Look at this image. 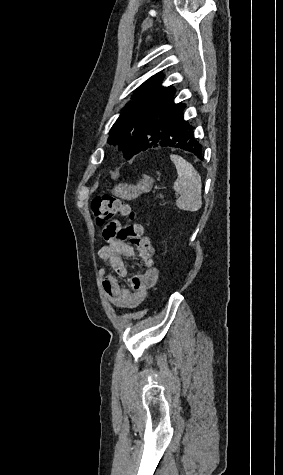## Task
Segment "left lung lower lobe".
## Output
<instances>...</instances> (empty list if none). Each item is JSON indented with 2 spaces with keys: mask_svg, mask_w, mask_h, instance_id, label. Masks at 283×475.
<instances>
[{
  "mask_svg": "<svg viewBox=\"0 0 283 475\" xmlns=\"http://www.w3.org/2000/svg\"><path fill=\"white\" fill-rule=\"evenodd\" d=\"M174 90L150 112L139 135H121L116 144L123 147L126 159L155 147H173L189 151L203 159V146L194 137V127L184 120L183 103H174Z\"/></svg>",
  "mask_w": 283,
  "mask_h": 475,
  "instance_id": "0a47b994",
  "label": "left lung lower lobe"
}]
</instances>
